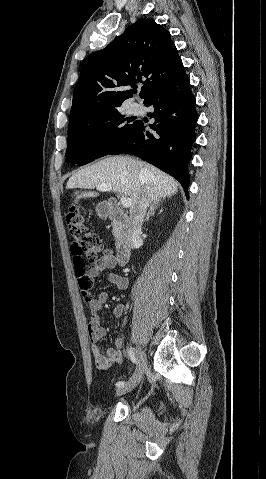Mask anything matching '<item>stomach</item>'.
Listing matches in <instances>:
<instances>
[{
    "label": "stomach",
    "instance_id": "obj_1",
    "mask_svg": "<svg viewBox=\"0 0 266 479\" xmlns=\"http://www.w3.org/2000/svg\"><path fill=\"white\" fill-rule=\"evenodd\" d=\"M110 207L107 203H99L97 206H96V211H97V214L100 216V217H107L110 213Z\"/></svg>",
    "mask_w": 266,
    "mask_h": 479
}]
</instances>
